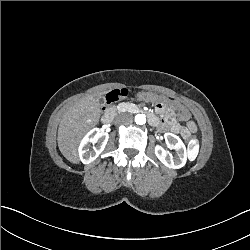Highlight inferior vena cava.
<instances>
[{
    "label": "inferior vena cava",
    "mask_w": 250,
    "mask_h": 250,
    "mask_svg": "<svg viewBox=\"0 0 250 250\" xmlns=\"http://www.w3.org/2000/svg\"><path fill=\"white\" fill-rule=\"evenodd\" d=\"M133 122V115L131 113H121L115 118V123L118 125H128Z\"/></svg>",
    "instance_id": "602c4592"
}]
</instances>
